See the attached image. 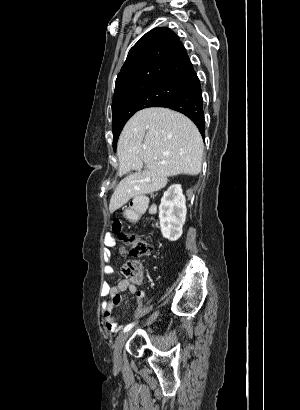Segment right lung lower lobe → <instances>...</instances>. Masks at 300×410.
I'll return each mask as SVG.
<instances>
[{
	"mask_svg": "<svg viewBox=\"0 0 300 410\" xmlns=\"http://www.w3.org/2000/svg\"><path fill=\"white\" fill-rule=\"evenodd\" d=\"M160 107H167L183 113L195 123L202 136H204L205 121L202 91L196 74L176 97Z\"/></svg>",
	"mask_w": 300,
	"mask_h": 410,
	"instance_id": "1",
	"label": "right lung lower lobe"
}]
</instances>
